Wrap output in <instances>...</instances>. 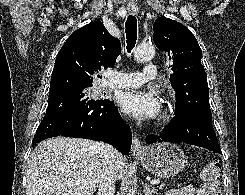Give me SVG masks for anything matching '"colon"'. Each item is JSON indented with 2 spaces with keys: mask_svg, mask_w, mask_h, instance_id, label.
I'll return each instance as SVG.
<instances>
[{
  "mask_svg": "<svg viewBox=\"0 0 245 195\" xmlns=\"http://www.w3.org/2000/svg\"><path fill=\"white\" fill-rule=\"evenodd\" d=\"M204 181L202 195H221L216 168H212L204 174Z\"/></svg>",
  "mask_w": 245,
  "mask_h": 195,
  "instance_id": "1",
  "label": "colon"
}]
</instances>
